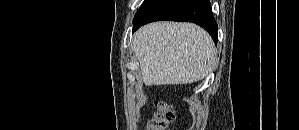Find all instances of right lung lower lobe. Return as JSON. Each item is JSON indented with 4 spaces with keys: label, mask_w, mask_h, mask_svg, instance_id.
I'll use <instances>...</instances> for the list:
<instances>
[{
    "label": "right lung lower lobe",
    "mask_w": 299,
    "mask_h": 130,
    "mask_svg": "<svg viewBox=\"0 0 299 130\" xmlns=\"http://www.w3.org/2000/svg\"><path fill=\"white\" fill-rule=\"evenodd\" d=\"M160 20L196 23L217 44L218 25L209 0H149L135 14L133 32L144 24Z\"/></svg>",
    "instance_id": "right-lung-lower-lobe-1"
}]
</instances>
